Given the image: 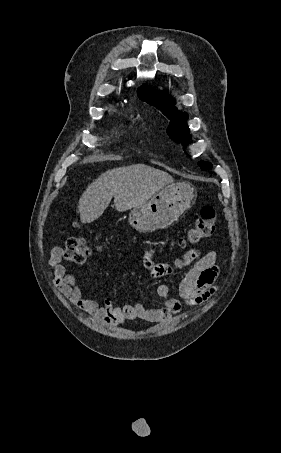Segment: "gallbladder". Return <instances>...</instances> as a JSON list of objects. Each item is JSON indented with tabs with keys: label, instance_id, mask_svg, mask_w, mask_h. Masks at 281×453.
<instances>
[{
	"label": "gallbladder",
	"instance_id": "gallbladder-1",
	"mask_svg": "<svg viewBox=\"0 0 281 453\" xmlns=\"http://www.w3.org/2000/svg\"><path fill=\"white\" fill-rule=\"evenodd\" d=\"M75 225L78 227L80 224L77 222Z\"/></svg>",
	"mask_w": 281,
	"mask_h": 453
}]
</instances>
